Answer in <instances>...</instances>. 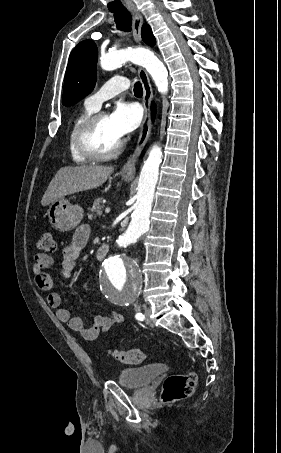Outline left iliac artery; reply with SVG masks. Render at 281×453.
Segmentation results:
<instances>
[{"mask_svg": "<svg viewBox=\"0 0 281 453\" xmlns=\"http://www.w3.org/2000/svg\"><path fill=\"white\" fill-rule=\"evenodd\" d=\"M135 317L140 321H143L145 319V316L142 313H137Z\"/></svg>", "mask_w": 281, "mask_h": 453, "instance_id": "44dca946", "label": "left iliac artery"}]
</instances>
